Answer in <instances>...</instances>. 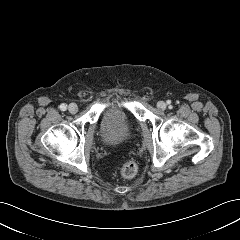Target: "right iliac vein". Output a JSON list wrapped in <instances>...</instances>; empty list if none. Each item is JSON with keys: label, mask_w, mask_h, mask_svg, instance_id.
<instances>
[{"label": "right iliac vein", "mask_w": 240, "mask_h": 240, "mask_svg": "<svg viewBox=\"0 0 240 240\" xmlns=\"http://www.w3.org/2000/svg\"><path fill=\"white\" fill-rule=\"evenodd\" d=\"M68 110L70 113L74 114L78 111V107L75 103H71L69 106H68Z\"/></svg>", "instance_id": "1"}]
</instances>
